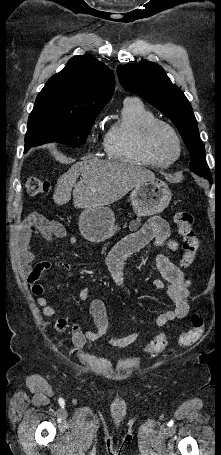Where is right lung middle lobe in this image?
Here are the masks:
<instances>
[{"mask_svg":"<svg viewBox=\"0 0 221 455\" xmlns=\"http://www.w3.org/2000/svg\"><path fill=\"white\" fill-rule=\"evenodd\" d=\"M97 113L77 114L50 108H33L25 135V152L33 146L59 142L70 147L84 144Z\"/></svg>","mask_w":221,"mask_h":455,"instance_id":"1","label":"right lung middle lobe"}]
</instances>
